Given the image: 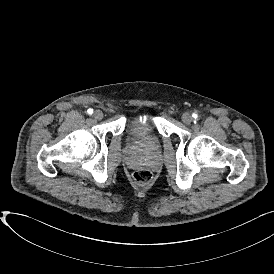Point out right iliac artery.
Returning a JSON list of instances; mask_svg holds the SVG:
<instances>
[{
  "mask_svg": "<svg viewBox=\"0 0 274 274\" xmlns=\"http://www.w3.org/2000/svg\"><path fill=\"white\" fill-rule=\"evenodd\" d=\"M87 113H88L89 115H91V114L93 113V109H91V108L88 109V110H87Z\"/></svg>",
  "mask_w": 274,
  "mask_h": 274,
  "instance_id": "right-iliac-artery-1",
  "label": "right iliac artery"
}]
</instances>
